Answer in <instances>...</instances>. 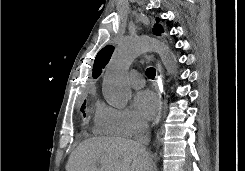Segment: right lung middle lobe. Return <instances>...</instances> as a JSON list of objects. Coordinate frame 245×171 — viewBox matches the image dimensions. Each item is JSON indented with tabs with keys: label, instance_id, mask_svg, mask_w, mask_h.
<instances>
[{
	"label": "right lung middle lobe",
	"instance_id": "dd1d6c3e",
	"mask_svg": "<svg viewBox=\"0 0 245 171\" xmlns=\"http://www.w3.org/2000/svg\"><path fill=\"white\" fill-rule=\"evenodd\" d=\"M81 111L84 113V105H82ZM85 116V115H84Z\"/></svg>",
	"mask_w": 245,
	"mask_h": 171
}]
</instances>
